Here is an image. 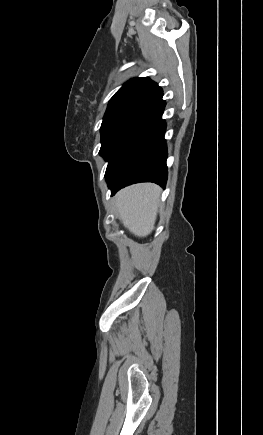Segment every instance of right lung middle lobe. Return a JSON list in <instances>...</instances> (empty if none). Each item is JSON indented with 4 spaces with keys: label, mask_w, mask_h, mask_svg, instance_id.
<instances>
[{
    "label": "right lung middle lobe",
    "mask_w": 263,
    "mask_h": 435,
    "mask_svg": "<svg viewBox=\"0 0 263 435\" xmlns=\"http://www.w3.org/2000/svg\"><path fill=\"white\" fill-rule=\"evenodd\" d=\"M143 105L124 104L108 106L100 128V155L110 162L116 155L124 135L132 121L143 109Z\"/></svg>",
    "instance_id": "1"
}]
</instances>
